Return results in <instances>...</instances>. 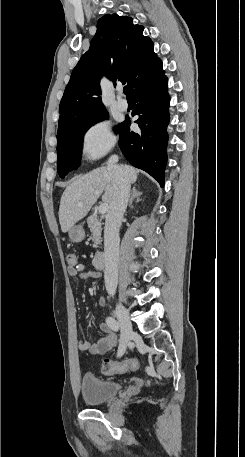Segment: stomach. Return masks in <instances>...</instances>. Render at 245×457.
I'll use <instances>...</instances> for the list:
<instances>
[{
  "label": "stomach",
  "mask_w": 245,
  "mask_h": 457,
  "mask_svg": "<svg viewBox=\"0 0 245 457\" xmlns=\"http://www.w3.org/2000/svg\"><path fill=\"white\" fill-rule=\"evenodd\" d=\"M68 233L69 239H71L73 243H80V241H83L85 237V231L81 224H74V226H71V229H69Z\"/></svg>",
  "instance_id": "obj_1"
}]
</instances>
